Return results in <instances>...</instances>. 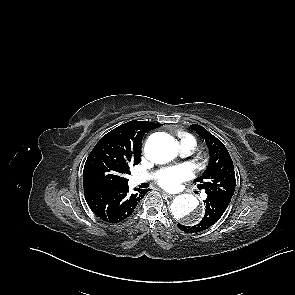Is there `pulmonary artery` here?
Masks as SVG:
<instances>
[{"mask_svg":"<svg viewBox=\"0 0 295 295\" xmlns=\"http://www.w3.org/2000/svg\"><path fill=\"white\" fill-rule=\"evenodd\" d=\"M195 145L192 142H185L180 144V153L182 156H188L191 151L194 149ZM133 180L136 184H140L148 180V176L144 174H136L133 177ZM203 197H206V194H203Z\"/></svg>","mask_w":295,"mask_h":295,"instance_id":"obj_1","label":"pulmonary artery"}]
</instances>
